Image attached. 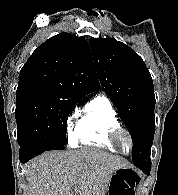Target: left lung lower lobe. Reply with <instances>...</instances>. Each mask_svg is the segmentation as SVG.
<instances>
[{"label": "left lung lower lobe", "mask_w": 178, "mask_h": 195, "mask_svg": "<svg viewBox=\"0 0 178 195\" xmlns=\"http://www.w3.org/2000/svg\"><path fill=\"white\" fill-rule=\"evenodd\" d=\"M138 168H140L145 174L149 175L151 162L147 161L146 163L136 164Z\"/></svg>", "instance_id": "left-lung-lower-lobe-1"}]
</instances>
